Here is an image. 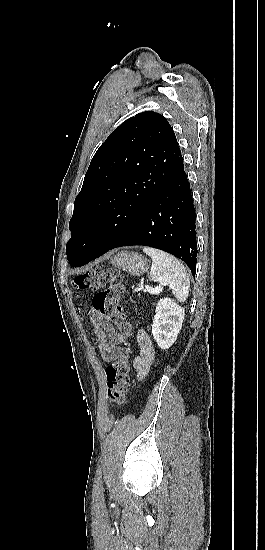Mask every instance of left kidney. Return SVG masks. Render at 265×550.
Wrapping results in <instances>:
<instances>
[{"label": "left kidney", "instance_id": "1", "mask_svg": "<svg viewBox=\"0 0 265 550\" xmlns=\"http://www.w3.org/2000/svg\"><path fill=\"white\" fill-rule=\"evenodd\" d=\"M184 308L172 299H160L153 319L152 334L161 349H168L177 339L184 319Z\"/></svg>", "mask_w": 265, "mask_h": 550}]
</instances>
